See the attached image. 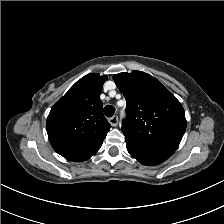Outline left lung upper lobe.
Listing matches in <instances>:
<instances>
[{"mask_svg": "<svg viewBox=\"0 0 224 224\" xmlns=\"http://www.w3.org/2000/svg\"><path fill=\"white\" fill-rule=\"evenodd\" d=\"M113 79L127 103L125 140L173 154L186 129L180 102L145 72L119 73Z\"/></svg>", "mask_w": 224, "mask_h": 224, "instance_id": "obj_1", "label": "left lung upper lobe"}]
</instances>
